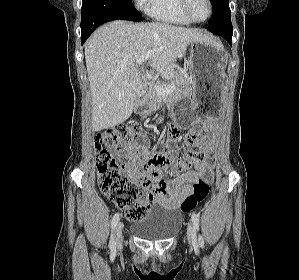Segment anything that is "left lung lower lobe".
<instances>
[{
	"label": "left lung lower lobe",
	"mask_w": 299,
	"mask_h": 280,
	"mask_svg": "<svg viewBox=\"0 0 299 280\" xmlns=\"http://www.w3.org/2000/svg\"><path fill=\"white\" fill-rule=\"evenodd\" d=\"M208 30L215 34L223 36L232 46L231 38L233 34V28L231 23V11L229 8V1L224 2L222 4L221 11L219 12L216 20L210 24Z\"/></svg>",
	"instance_id": "0a47b994"
}]
</instances>
